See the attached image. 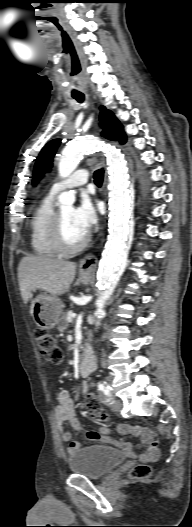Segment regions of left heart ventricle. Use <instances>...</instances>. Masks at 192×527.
I'll list each match as a JSON object with an SVG mask.
<instances>
[{"label": "left heart ventricle", "mask_w": 192, "mask_h": 527, "mask_svg": "<svg viewBox=\"0 0 192 527\" xmlns=\"http://www.w3.org/2000/svg\"><path fill=\"white\" fill-rule=\"evenodd\" d=\"M65 241L70 245L79 243L86 234L78 227L74 219V209L66 207L60 211Z\"/></svg>", "instance_id": "left-heart-ventricle-1"}]
</instances>
